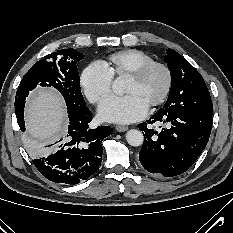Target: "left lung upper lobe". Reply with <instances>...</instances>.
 Listing matches in <instances>:
<instances>
[{"mask_svg": "<svg viewBox=\"0 0 233 233\" xmlns=\"http://www.w3.org/2000/svg\"><path fill=\"white\" fill-rule=\"evenodd\" d=\"M165 61L172 83L168 99L162 108L186 110L212 117V101L200 73L179 53L167 49Z\"/></svg>", "mask_w": 233, "mask_h": 233, "instance_id": "obj_1", "label": "left lung upper lobe"}]
</instances>
